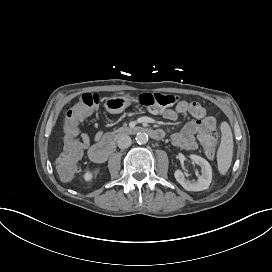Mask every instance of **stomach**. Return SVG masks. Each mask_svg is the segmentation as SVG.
I'll return each instance as SVG.
<instances>
[{
    "label": "stomach",
    "mask_w": 272,
    "mask_h": 272,
    "mask_svg": "<svg viewBox=\"0 0 272 272\" xmlns=\"http://www.w3.org/2000/svg\"><path fill=\"white\" fill-rule=\"evenodd\" d=\"M133 101L134 98L130 95L113 96L107 98L104 106L109 113L117 114L123 112Z\"/></svg>",
    "instance_id": "obj_1"
}]
</instances>
